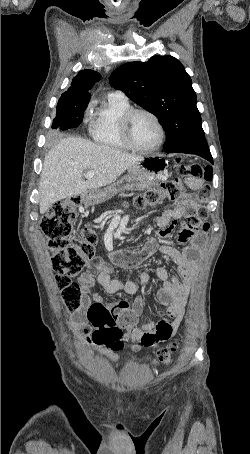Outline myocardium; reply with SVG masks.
<instances>
[{
  "instance_id": "f54148a6",
  "label": "myocardium",
  "mask_w": 250,
  "mask_h": 454,
  "mask_svg": "<svg viewBox=\"0 0 250 454\" xmlns=\"http://www.w3.org/2000/svg\"><path fill=\"white\" fill-rule=\"evenodd\" d=\"M138 114H145L149 116L156 124L159 132L157 142L149 148H141L137 146L132 139L131 124L134 117ZM119 127L122 139L124 143L127 145V147L139 153L148 154L155 152L162 146L165 140V129L163 127L161 120L154 112L146 108H131L128 111H126L119 119Z\"/></svg>"
}]
</instances>
